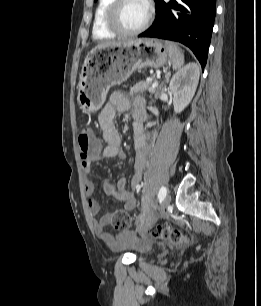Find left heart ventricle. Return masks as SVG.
I'll return each instance as SVG.
<instances>
[{
  "label": "left heart ventricle",
  "mask_w": 261,
  "mask_h": 306,
  "mask_svg": "<svg viewBox=\"0 0 261 306\" xmlns=\"http://www.w3.org/2000/svg\"><path fill=\"white\" fill-rule=\"evenodd\" d=\"M147 15V5L144 0H126L122 5L119 20L126 29L133 30L139 27Z\"/></svg>",
  "instance_id": "obj_1"
}]
</instances>
